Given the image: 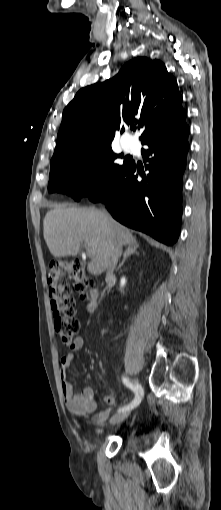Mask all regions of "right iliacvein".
<instances>
[{
  "instance_id": "1",
  "label": "right iliac vein",
  "mask_w": 221,
  "mask_h": 510,
  "mask_svg": "<svg viewBox=\"0 0 221 510\" xmlns=\"http://www.w3.org/2000/svg\"><path fill=\"white\" fill-rule=\"evenodd\" d=\"M129 415V411H122V412H119L117 414H115L114 416H112V418L110 419V423L111 424H119L121 422H123Z\"/></svg>"
}]
</instances>
